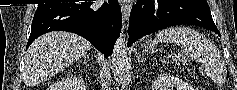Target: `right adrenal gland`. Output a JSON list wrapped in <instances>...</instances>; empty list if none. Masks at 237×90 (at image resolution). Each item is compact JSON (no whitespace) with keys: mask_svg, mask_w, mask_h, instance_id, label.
Masks as SVG:
<instances>
[{"mask_svg":"<svg viewBox=\"0 0 237 90\" xmlns=\"http://www.w3.org/2000/svg\"><path fill=\"white\" fill-rule=\"evenodd\" d=\"M87 62H89V58L87 60V56H84V64H87Z\"/></svg>","mask_w":237,"mask_h":90,"instance_id":"obj_1","label":"right adrenal gland"}]
</instances>
